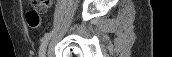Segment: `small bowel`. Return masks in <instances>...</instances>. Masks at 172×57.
Masks as SVG:
<instances>
[{"label": "small bowel", "instance_id": "small-bowel-1", "mask_svg": "<svg viewBox=\"0 0 172 57\" xmlns=\"http://www.w3.org/2000/svg\"><path fill=\"white\" fill-rule=\"evenodd\" d=\"M52 5V1L51 0H45L43 1L42 4L38 5V9L40 12H46L47 9Z\"/></svg>", "mask_w": 172, "mask_h": 57}]
</instances>
